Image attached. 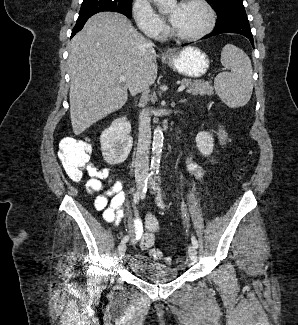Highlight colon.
Instances as JSON below:
<instances>
[{"mask_svg":"<svg viewBox=\"0 0 298 325\" xmlns=\"http://www.w3.org/2000/svg\"><path fill=\"white\" fill-rule=\"evenodd\" d=\"M89 146L87 143H80L78 147L67 145L62 149L60 158L64 170L68 177L74 181H79L84 172L94 169L96 166L89 159ZM146 232L140 238V246L147 250L155 260L164 259L163 253L154 248V234L159 230L158 219L154 215H147L144 220Z\"/></svg>","mask_w":298,"mask_h":325,"instance_id":"5ec220e1","label":"colon"}]
</instances>
